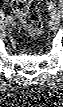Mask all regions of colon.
<instances>
[{"label": "colon", "mask_w": 63, "mask_h": 107, "mask_svg": "<svg viewBox=\"0 0 63 107\" xmlns=\"http://www.w3.org/2000/svg\"><path fill=\"white\" fill-rule=\"evenodd\" d=\"M12 8L31 37L39 34L41 19L38 9L29 0H13Z\"/></svg>", "instance_id": "colon-1"}]
</instances>
